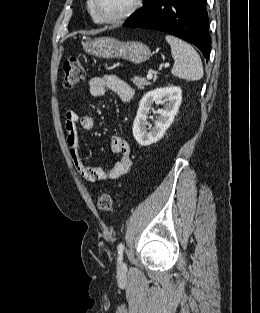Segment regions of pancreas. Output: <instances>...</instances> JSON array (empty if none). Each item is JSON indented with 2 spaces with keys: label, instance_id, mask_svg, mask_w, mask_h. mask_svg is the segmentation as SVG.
I'll return each mask as SVG.
<instances>
[{
  "label": "pancreas",
  "instance_id": "pancreas-1",
  "mask_svg": "<svg viewBox=\"0 0 260 313\" xmlns=\"http://www.w3.org/2000/svg\"><path fill=\"white\" fill-rule=\"evenodd\" d=\"M132 81L138 89H144L145 86H148L151 84L144 77H139V76L133 77Z\"/></svg>",
  "mask_w": 260,
  "mask_h": 313
}]
</instances>
